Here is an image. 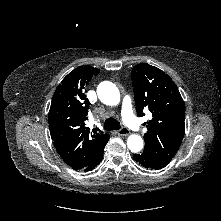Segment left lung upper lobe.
I'll use <instances>...</instances> for the list:
<instances>
[{"mask_svg":"<svg viewBox=\"0 0 221 221\" xmlns=\"http://www.w3.org/2000/svg\"><path fill=\"white\" fill-rule=\"evenodd\" d=\"M134 98L138 116L149 109L152 119L145 122L143 153L167 165L177 153L185 133V104L176 84L162 70L149 64L132 69Z\"/></svg>","mask_w":221,"mask_h":221,"instance_id":"obj_1","label":"left lung upper lobe"}]
</instances>
